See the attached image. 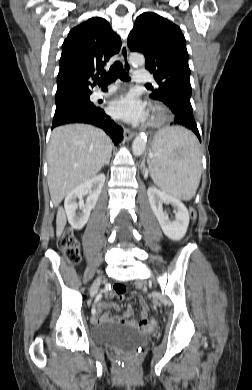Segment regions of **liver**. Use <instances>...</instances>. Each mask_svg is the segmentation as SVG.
<instances>
[{
  "mask_svg": "<svg viewBox=\"0 0 252 390\" xmlns=\"http://www.w3.org/2000/svg\"><path fill=\"white\" fill-rule=\"evenodd\" d=\"M112 141L104 131L91 125L57 127L48 145V186L51 200L58 207L73 189L96 176L111 157ZM66 225L63 210L56 218V235Z\"/></svg>",
  "mask_w": 252,
  "mask_h": 390,
  "instance_id": "obj_1",
  "label": "liver"
}]
</instances>
